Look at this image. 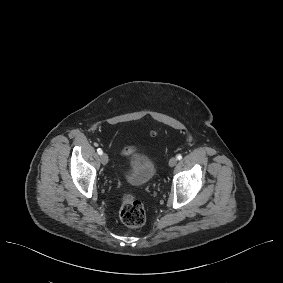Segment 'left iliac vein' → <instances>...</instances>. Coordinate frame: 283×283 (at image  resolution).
I'll use <instances>...</instances> for the list:
<instances>
[{"label": "left iliac vein", "instance_id": "obj_1", "mask_svg": "<svg viewBox=\"0 0 283 283\" xmlns=\"http://www.w3.org/2000/svg\"><path fill=\"white\" fill-rule=\"evenodd\" d=\"M176 164H177V158H176V157H172V158L169 160V166H170V167H174Z\"/></svg>", "mask_w": 283, "mask_h": 283}]
</instances>
